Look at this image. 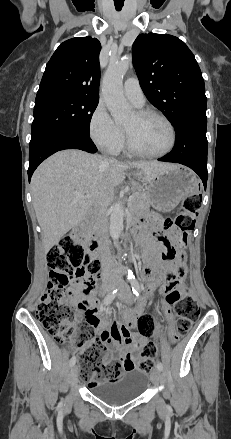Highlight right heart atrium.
Returning a JSON list of instances; mask_svg holds the SVG:
<instances>
[{
  "label": "right heart atrium",
  "instance_id": "right-heart-atrium-1",
  "mask_svg": "<svg viewBox=\"0 0 231 439\" xmlns=\"http://www.w3.org/2000/svg\"><path fill=\"white\" fill-rule=\"evenodd\" d=\"M89 135L99 148L118 151L124 141L122 128L112 119L103 103H98L89 121Z\"/></svg>",
  "mask_w": 231,
  "mask_h": 439
}]
</instances>
